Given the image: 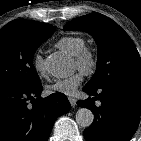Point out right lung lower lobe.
I'll return each mask as SVG.
<instances>
[{
  "mask_svg": "<svg viewBox=\"0 0 141 141\" xmlns=\"http://www.w3.org/2000/svg\"><path fill=\"white\" fill-rule=\"evenodd\" d=\"M42 89L41 84L0 86V141H47L56 118L70 104L62 93L41 98Z\"/></svg>",
  "mask_w": 141,
  "mask_h": 141,
  "instance_id": "1",
  "label": "right lung lower lobe"
}]
</instances>
